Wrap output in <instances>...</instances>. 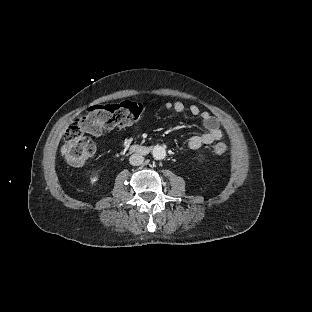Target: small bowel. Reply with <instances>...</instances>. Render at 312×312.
Listing matches in <instances>:
<instances>
[{
  "label": "small bowel",
  "mask_w": 312,
  "mask_h": 312,
  "mask_svg": "<svg viewBox=\"0 0 312 312\" xmlns=\"http://www.w3.org/2000/svg\"><path fill=\"white\" fill-rule=\"evenodd\" d=\"M165 107L168 110H174L176 113H183L185 111V105L180 101L167 102ZM188 112L192 116L200 117L207 130L205 133L194 135L189 139L188 146L190 149L196 150L202 145L212 144L222 138L220 120L216 116L201 110L196 104L190 105Z\"/></svg>",
  "instance_id": "c3829d8e"
}]
</instances>
